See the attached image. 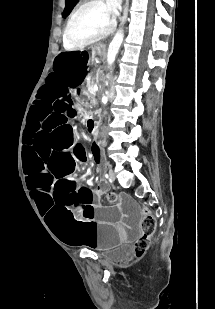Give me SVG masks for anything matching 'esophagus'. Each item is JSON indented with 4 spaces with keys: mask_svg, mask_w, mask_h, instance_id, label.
I'll return each instance as SVG.
<instances>
[{
    "mask_svg": "<svg viewBox=\"0 0 215 309\" xmlns=\"http://www.w3.org/2000/svg\"><path fill=\"white\" fill-rule=\"evenodd\" d=\"M129 0H125L122 16V24L126 21L128 15Z\"/></svg>",
    "mask_w": 215,
    "mask_h": 309,
    "instance_id": "1",
    "label": "esophagus"
}]
</instances>
